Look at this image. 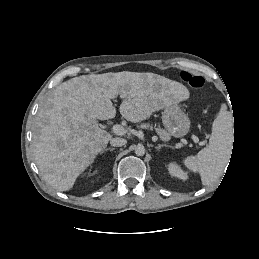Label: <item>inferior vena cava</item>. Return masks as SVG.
<instances>
[{
  "mask_svg": "<svg viewBox=\"0 0 259 259\" xmlns=\"http://www.w3.org/2000/svg\"><path fill=\"white\" fill-rule=\"evenodd\" d=\"M126 143L127 141L124 138L115 137L110 139V144L113 147H121L124 146Z\"/></svg>",
  "mask_w": 259,
  "mask_h": 259,
  "instance_id": "inferior-vena-cava-1",
  "label": "inferior vena cava"
}]
</instances>
